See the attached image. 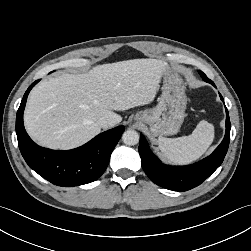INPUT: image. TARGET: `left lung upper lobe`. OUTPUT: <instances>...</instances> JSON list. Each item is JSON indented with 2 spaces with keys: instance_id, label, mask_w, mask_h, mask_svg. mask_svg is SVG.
I'll return each mask as SVG.
<instances>
[{
  "instance_id": "1",
  "label": "left lung upper lobe",
  "mask_w": 251,
  "mask_h": 251,
  "mask_svg": "<svg viewBox=\"0 0 251 251\" xmlns=\"http://www.w3.org/2000/svg\"><path fill=\"white\" fill-rule=\"evenodd\" d=\"M199 74L201 75V77L203 78L204 81H206V82L211 81L210 79L207 78V76L202 71H199Z\"/></svg>"
}]
</instances>
